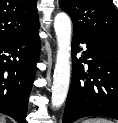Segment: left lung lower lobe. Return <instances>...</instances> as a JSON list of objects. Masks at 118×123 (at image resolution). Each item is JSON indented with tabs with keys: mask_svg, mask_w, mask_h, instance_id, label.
<instances>
[{
	"mask_svg": "<svg viewBox=\"0 0 118 123\" xmlns=\"http://www.w3.org/2000/svg\"><path fill=\"white\" fill-rule=\"evenodd\" d=\"M81 44H86V48H81ZM83 63L88 66L86 72ZM72 64L62 123L88 116L118 120V45L73 32Z\"/></svg>",
	"mask_w": 118,
	"mask_h": 123,
	"instance_id": "0a47b994",
	"label": "left lung lower lobe"
}]
</instances>
